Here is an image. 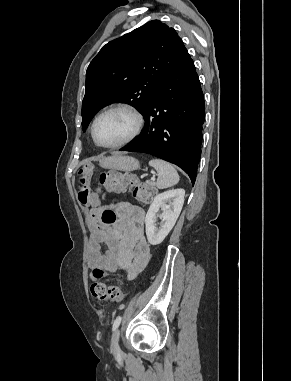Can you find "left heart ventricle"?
Listing matches in <instances>:
<instances>
[{"label":"left heart ventricle","mask_w":291,"mask_h":381,"mask_svg":"<svg viewBox=\"0 0 291 381\" xmlns=\"http://www.w3.org/2000/svg\"><path fill=\"white\" fill-rule=\"evenodd\" d=\"M134 116L124 110L110 112L99 119L96 135L103 144H114L128 137L134 130Z\"/></svg>","instance_id":"b2bd125f"}]
</instances>
